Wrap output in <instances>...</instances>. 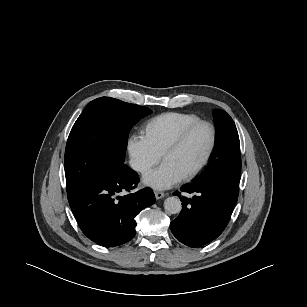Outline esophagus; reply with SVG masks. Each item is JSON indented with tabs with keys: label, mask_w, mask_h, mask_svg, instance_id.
<instances>
[{
	"label": "esophagus",
	"mask_w": 307,
	"mask_h": 307,
	"mask_svg": "<svg viewBox=\"0 0 307 307\" xmlns=\"http://www.w3.org/2000/svg\"><path fill=\"white\" fill-rule=\"evenodd\" d=\"M154 194H155L156 199H161V198L165 197V195H166L165 193L160 192V191H154Z\"/></svg>",
	"instance_id": "esophagus-1"
}]
</instances>
